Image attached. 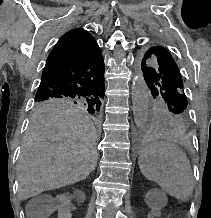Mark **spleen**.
Instances as JSON below:
<instances>
[{"label": "spleen", "instance_id": "1", "mask_svg": "<svg viewBox=\"0 0 211 218\" xmlns=\"http://www.w3.org/2000/svg\"><path fill=\"white\" fill-rule=\"evenodd\" d=\"M139 168L151 182H156L169 196L186 202L194 188L191 164L179 150H143Z\"/></svg>", "mask_w": 211, "mask_h": 218}]
</instances>
